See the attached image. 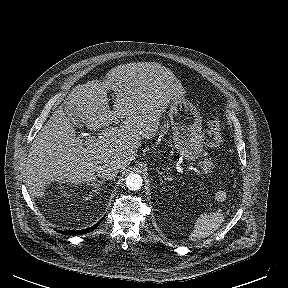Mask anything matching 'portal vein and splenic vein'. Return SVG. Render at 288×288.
Instances as JSON below:
<instances>
[{
	"label": "portal vein and splenic vein",
	"instance_id": "obj_1",
	"mask_svg": "<svg viewBox=\"0 0 288 288\" xmlns=\"http://www.w3.org/2000/svg\"><path fill=\"white\" fill-rule=\"evenodd\" d=\"M93 140H94L93 137H88V138L86 139V142H92ZM195 172H196L197 174H200V170L197 169V168H195Z\"/></svg>",
	"mask_w": 288,
	"mask_h": 288
}]
</instances>
